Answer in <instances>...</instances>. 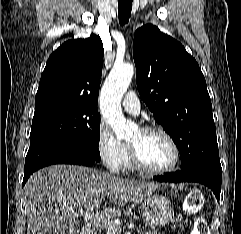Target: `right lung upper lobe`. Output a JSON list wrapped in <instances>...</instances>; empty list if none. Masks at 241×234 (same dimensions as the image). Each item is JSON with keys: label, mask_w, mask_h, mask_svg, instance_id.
Returning a JSON list of instances; mask_svg holds the SVG:
<instances>
[{"label": "right lung upper lobe", "mask_w": 241, "mask_h": 234, "mask_svg": "<svg viewBox=\"0 0 241 234\" xmlns=\"http://www.w3.org/2000/svg\"><path fill=\"white\" fill-rule=\"evenodd\" d=\"M103 56V44L96 35L63 43L46 63L35 106L65 103L97 108Z\"/></svg>", "instance_id": "cb5924a9"}]
</instances>
